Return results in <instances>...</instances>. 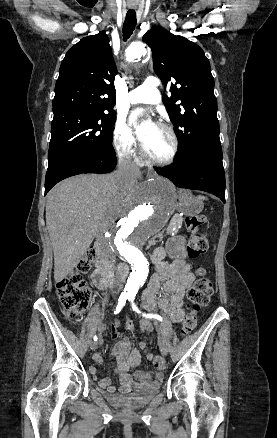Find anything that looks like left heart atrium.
<instances>
[{
  "mask_svg": "<svg viewBox=\"0 0 277 438\" xmlns=\"http://www.w3.org/2000/svg\"><path fill=\"white\" fill-rule=\"evenodd\" d=\"M139 113H140V111H135V112L133 113L132 117H133V118L136 117ZM139 135H140L141 140H143V138H144L143 133H140Z\"/></svg>",
  "mask_w": 277,
  "mask_h": 438,
  "instance_id": "left-heart-atrium-1",
  "label": "left heart atrium"
}]
</instances>
